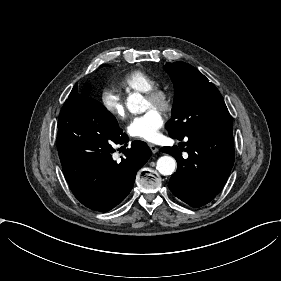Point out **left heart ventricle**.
Returning a JSON list of instances; mask_svg holds the SVG:
<instances>
[{"label":"left heart ventricle","mask_w":281,"mask_h":281,"mask_svg":"<svg viewBox=\"0 0 281 281\" xmlns=\"http://www.w3.org/2000/svg\"><path fill=\"white\" fill-rule=\"evenodd\" d=\"M150 108H152V107L150 106L149 102L145 99L144 111H146V110H148Z\"/></svg>","instance_id":"b2bd125f"}]
</instances>
